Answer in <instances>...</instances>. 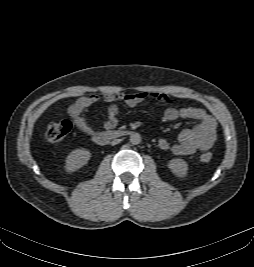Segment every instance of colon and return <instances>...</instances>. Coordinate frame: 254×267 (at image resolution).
Here are the masks:
<instances>
[{
  "mask_svg": "<svg viewBox=\"0 0 254 267\" xmlns=\"http://www.w3.org/2000/svg\"><path fill=\"white\" fill-rule=\"evenodd\" d=\"M71 128L72 124L68 120L50 123L47 126L45 137L49 142H60L70 133ZM211 160V152H204L200 155V161L203 163H209Z\"/></svg>",
  "mask_w": 254,
  "mask_h": 267,
  "instance_id": "obj_1",
  "label": "colon"
}]
</instances>
